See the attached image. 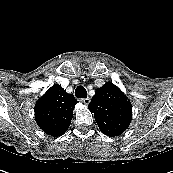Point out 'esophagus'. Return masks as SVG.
<instances>
[{"label": "esophagus", "instance_id": "34e87169", "mask_svg": "<svg viewBox=\"0 0 173 173\" xmlns=\"http://www.w3.org/2000/svg\"><path fill=\"white\" fill-rule=\"evenodd\" d=\"M83 104H85V105H88L89 104V102H90V98H83V99H81L80 100Z\"/></svg>", "mask_w": 173, "mask_h": 173}]
</instances>
